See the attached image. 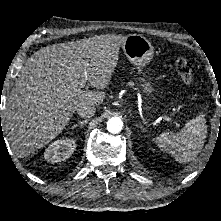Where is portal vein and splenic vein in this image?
<instances>
[{
    "label": "portal vein and splenic vein",
    "instance_id": "18ae733b",
    "mask_svg": "<svg viewBox=\"0 0 221 221\" xmlns=\"http://www.w3.org/2000/svg\"><path fill=\"white\" fill-rule=\"evenodd\" d=\"M86 63L87 62H83L84 65H86ZM86 81H87V79H86V71L84 70L82 72V79H81V82H80V87L81 88H83L85 86ZM163 119L168 121V122H171V123L173 122V119L171 117L163 116Z\"/></svg>",
    "mask_w": 221,
    "mask_h": 221
}]
</instances>
